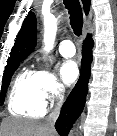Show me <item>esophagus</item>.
I'll use <instances>...</instances> for the list:
<instances>
[{
  "label": "esophagus",
  "instance_id": "1",
  "mask_svg": "<svg viewBox=\"0 0 117 136\" xmlns=\"http://www.w3.org/2000/svg\"><path fill=\"white\" fill-rule=\"evenodd\" d=\"M84 20L86 21L87 20V17L84 16ZM86 35V29L84 30V36Z\"/></svg>",
  "mask_w": 117,
  "mask_h": 136
}]
</instances>
